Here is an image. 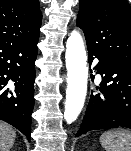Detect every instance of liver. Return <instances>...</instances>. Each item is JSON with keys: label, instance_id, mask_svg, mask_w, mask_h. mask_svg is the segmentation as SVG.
<instances>
[{"label": "liver", "instance_id": "6515ba94", "mask_svg": "<svg viewBox=\"0 0 131 151\" xmlns=\"http://www.w3.org/2000/svg\"><path fill=\"white\" fill-rule=\"evenodd\" d=\"M15 137L16 134L12 127L0 121V151H10Z\"/></svg>", "mask_w": 131, "mask_h": 151}]
</instances>
